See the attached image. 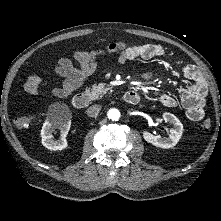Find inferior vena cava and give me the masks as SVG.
<instances>
[{
  "instance_id": "obj_1",
  "label": "inferior vena cava",
  "mask_w": 221,
  "mask_h": 221,
  "mask_svg": "<svg viewBox=\"0 0 221 221\" xmlns=\"http://www.w3.org/2000/svg\"><path fill=\"white\" fill-rule=\"evenodd\" d=\"M100 110H101L100 105H97V104L92 105L87 109V115L89 117H96L98 113L100 112Z\"/></svg>"
}]
</instances>
